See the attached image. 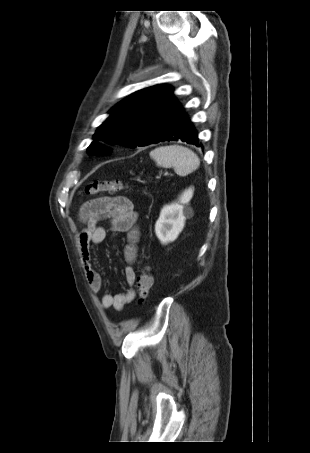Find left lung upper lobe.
I'll return each instance as SVG.
<instances>
[{
	"instance_id": "5c2ea615",
	"label": "left lung upper lobe",
	"mask_w": 310,
	"mask_h": 453,
	"mask_svg": "<svg viewBox=\"0 0 310 453\" xmlns=\"http://www.w3.org/2000/svg\"><path fill=\"white\" fill-rule=\"evenodd\" d=\"M179 106L172 88L155 85L144 88L122 100L110 110V117L98 128L94 140L130 148L158 143L167 132ZM89 153L107 150L93 142Z\"/></svg>"
}]
</instances>
